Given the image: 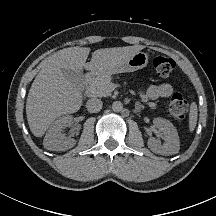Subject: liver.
Instances as JSON below:
<instances>
[{"label":"liver","mask_w":216,"mask_h":216,"mask_svg":"<svg viewBox=\"0 0 216 216\" xmlns=\"http://www.w3.org/2000/svg\"><path fill=\"white\" fill-rule=\"evenodd\" d=\"M144 46H126L98 49L92 53L88 47H70L49 56L34 79L26 102V115L31 132L42 137L54 120L64 114L77 112L82 105V94L76 84L69 81L62 69L93 73L118 66Z\"/></svg>","instance_id":"obj_1"}]
</instances>
